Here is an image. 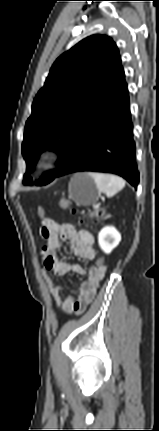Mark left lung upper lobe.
I'll return each mask as SVG.
<instances>
[{"label":"left lung upper lobe","mask_w":159,"mask_h":431,"mask_svg":"<svg viewBox=\"0 0 159 431\" xmlns=\"http://www.w3.org/2000/svg\"><path fill=\"white\" fill-rule=\"evenodd\" d=\"M124 82L119 51L106 35L83 39L54 62L25 125L22 153L28 168L24 184H32L28 173L45 150L59 152L57 165L64 167L81 128ZM59 171L44 174L36 184H48Z\"/></svg>","instance_id":"left-lung-upper-lobe-1"}]
</instances>
